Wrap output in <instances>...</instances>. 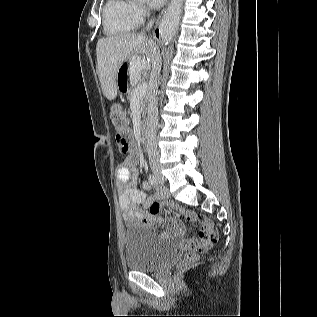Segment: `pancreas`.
I'll use <instances>...</instances> for the list:
<instances>
[{
    "label": "pancreas",
    "mask_w": 317,
    "mask_h": 317,
    "mask_svg": "<svg viewBox=\"0 0 317 317\" xmlns=\"http://www.w3.org/2000/svg\"><path fill=\"white\" fill-rule=\"evenodd\" d=\"M137 76H139V72H137ZM141 81V80H140ZM141 88V83L140 82H135V83H132V86H130L128 88V95H127V99L129 101H131L133 99V93H136L138 89ZM139 104H140V110H141V113H144V107H145V104H146V96H142L140 97V100H139Z\"/></svg>",
    "instance_id": "cf45deb5"
}]
</instances>
